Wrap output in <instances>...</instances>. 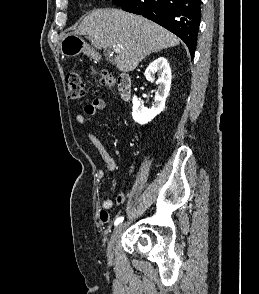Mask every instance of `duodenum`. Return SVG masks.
Segmentation results:
<instances>
[{
	"label": "duodenum",
	"mask_w": 259,
	"mask_h": 294,
	"mask_svg": "<svg viewBox=\"0 0 259 294\" xmlns=\"http://www.w3.org/2000/svg\"><path fill=\"white\" fill-rule=\"evenodd\" d=\"M118 94L123 100H128L132 93V81L129 75L121 74L117 80Z\"/></svg>",
	"instance_id": "410a0bca"
}]
</instances>
